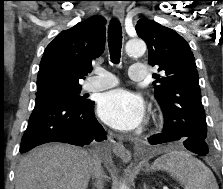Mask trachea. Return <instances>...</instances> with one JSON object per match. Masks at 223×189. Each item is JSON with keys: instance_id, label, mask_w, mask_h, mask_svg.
Segmentation results:
<instances>
[{"instance_id": "3493384b", "label": "trachea", "mask_w": 223, "mask_h": 189, "mask_svg": "<svg viewBox=\"0 0 223 189\" xmlns=\"http://www.w3.org/2000/svg\"><path fill=\"white\" fill-rule=\"evenodd\" d=\"M108 46L111 61L119 63L122 48V29L120 22L113 19L108 28Z\"/></svg>"}]
</instances>
